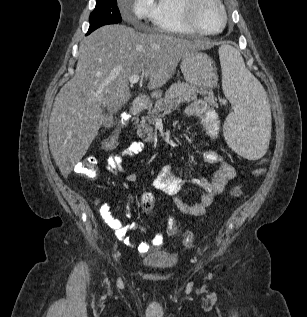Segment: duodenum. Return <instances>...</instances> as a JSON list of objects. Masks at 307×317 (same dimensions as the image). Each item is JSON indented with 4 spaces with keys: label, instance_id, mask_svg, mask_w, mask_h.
<instances>
[{
    "label": "duodenum",
    "instance_id": "410a0bca",
    "mask_svg": "<svg viewBox=\"0 0 307 317\" xmlns=\"http://www.w3.org/2000/svg\"><path fill=\"white\" fill-rule=\"evenodd\" d=\"M146 101L144 98H136L130 107V112L132 115H137L144 109Z\"/></svg>",
    "mask_w": 307,
    "mask_h": 317
}]
</instances>
